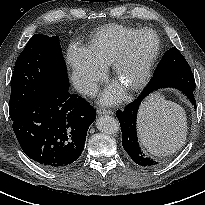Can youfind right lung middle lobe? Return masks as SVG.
<instances>
[{
    "mask_svg": "<svg viewBox=\"0 0 205 205\" xmlns=\"http://www.w3.org/2000/svg\"><path fill=\"white\" fill-rule=\"evenodd\" d=\"M69 88L59 38L35 34L16 60L9 113L16 119L41 93Z\"/></svg>",
    "mask_w": 205,
    "mask_h": 205,
    "instance_id": "obj_1",
    "label": "right lung middle lobe"
}]
</instances>
